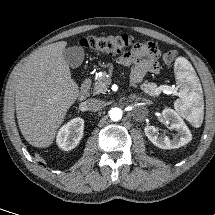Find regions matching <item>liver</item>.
Listing matches in <instances>:
<instances>
[{"label":"liver","mask_w":215,"mask_h":215,"mask_svg":"<svg viewBox=\"0 0 215 215\" xmlns=\"http://www.w3.org/2000/svg\"><path fill=\"white\" fill-rule=\"evenodd\" d=\"M60 41L34 51L13 77L16 116L20 131L32 146H50L68 109L79 96L63 57Z\"/></svg>","instance_id":"liver-1"}]
</instances>
